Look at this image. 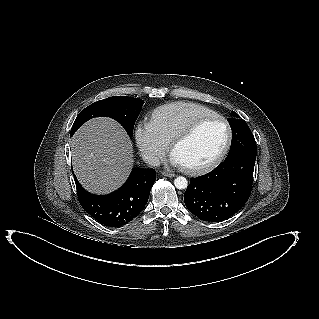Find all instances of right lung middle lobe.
<instances>
[{
	"instance_id": "right-lung-middle-lobe-1",
	"label": "right lung middle lobe",
	"mask_w": 319,
	"mask_h": 319,
	"mask_svg": "<svg viewBox=\"0 0 319 319\" xmlns=\"http://www.w3.org/2000/svg\"><path fill=\"white\" fill-rule=\"evenodd\" d=\"M143 103L141 99L126 96H113L97 101L79 113L72 126L71 135L92 117L107 116L118 121L132 137L133 127Z\"/></svg>"
}]
</instances>
